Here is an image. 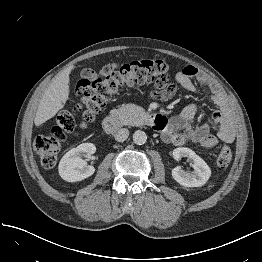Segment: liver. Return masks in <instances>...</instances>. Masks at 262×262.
Segmentation results:
<instances>
[{"mask_svg":"<svg viewBox=\"0 0 262 262\" xmlns=\"http://www.w3.org/2000/svg\"><path fill=\"white\" fill-rule=\"evenodd\" d=\"M74 68L70 66L58 73L45 90L34 118L36 126L53 118L64 107L69 97V75Z\"/></svg>","mask_w":262,"mask_h":262,"instance_id":"obj_1","label":"liver"}]
</instances>
